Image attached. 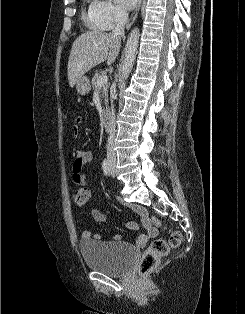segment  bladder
Returning a JSON list of instances; mask_svg holds the SVG:
<instances>
[{
	"label": "bladder",
	"mask_w": 245,
	"mask_h": 314,
	"mask_svg": "<svg viewBox=\"0 0 245 314\" xmlns=\"http://www.w3.org/2000/svg\"><path fill=\"white\" fill-rule=\"evenodd\" d=\"M79 251L85 265L93 270L120 275L129 269L137 257V251L121 242L85 240Z\"/></svg>",
	"instance_id": "31cf9c89"
}]
</instances>
